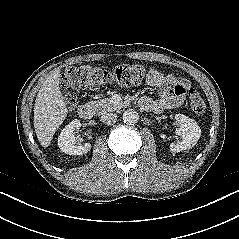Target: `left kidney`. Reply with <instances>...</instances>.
Instances as JSON below:
<instances>
[{"instance_id": "1", "label": "left kidney", "mask_w": 239, "mask_h": 239, "mask_svg": "<svg viewBox=\"0 0 239 239\" xmlns=\"http://www.w3.org/2000/svg\"><path fill=\"white\" fill-rule=\"evenodd\" d=\"M175 119L180 126L177 130V134L181 137V141L171 143L170 149L172 152L189 150L198 142L201 136V129L194 119L183 114H176Z\"/></svg>"}]
</instances>
